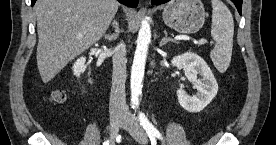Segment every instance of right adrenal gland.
Instances as JSON below:
<instances>
[{
	"mask_svg": "<svg viewBox=\"0 0 276 145\" xmlns=\"http://www.w3.org/2000/svg\"><path fill=\"white\" fill-rule=\"evenodd\" d=\"M112 25L115 28V33H113V34H105L104 35L105 39H107L108 41H113V40L117 39V37L119 35V32H120L117 21L114 20L112 22Z\"/></svg>",
	"mask_w": 276,
	"mask_h": 145,
	"instance_id": "1",
	"label": "right adrenal gland"
}]
</instances>
